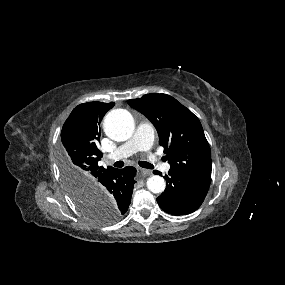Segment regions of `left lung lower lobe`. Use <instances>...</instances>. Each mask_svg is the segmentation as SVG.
I'll return each instance as SVG.
<instances>
[{
	"instance_id": "left-lung-lower-lobe-1",
	"label": "left lung lower lobe",
	"mask_w": 285,
	"mask_h": 285,
	"mask_svg": "<svg viewBox=\"0 0 285 285\" xmlns=\"http://www.w3.org/2000/svg\"><path fill=\"white\" fill-rule=\"evenodd\" d=\"M153 173L161 175V172ZM165 176L167 183L165 191L157 198L159 206L167 213L184 215L196 211L202 204L210 181L196 179L173 171Z\"/></svg>"
}]
</instances>
